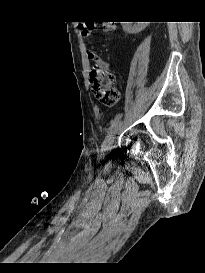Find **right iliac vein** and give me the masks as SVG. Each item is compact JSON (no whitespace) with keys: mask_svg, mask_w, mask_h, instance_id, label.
Returning <instances> with one entry per match:
<instances>
[{"mask_svg":"<svg viewBox=\"0 0 205 273\" xmlns=\"http://www.w3.org/2000/svg\"><path fill=\"white\" fill-rule=\"evenodd\" d=\"M122 126V121H118L114 127L110 130L108 135L106 136L104 142H103V150L109 151L112 147V144L114 142L115 136L117 135L118 131L120 130Z\"/></svg>","mask_w":205,"mask_h":273,"instance_id":"right-iliac-vein-1","label":"right iliac vein"}]
</instances>
